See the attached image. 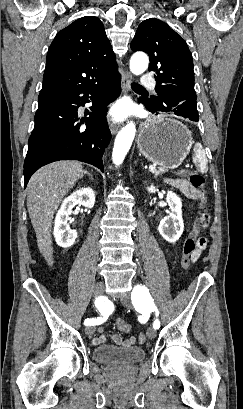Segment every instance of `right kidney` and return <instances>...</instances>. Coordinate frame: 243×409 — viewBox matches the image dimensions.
Here are the masks:
<instances>
[{
	"label": "right kidney",
	"mask_w": 243,
	"mask_h": 409,
	"mask_svg": "<svg viewBox=\"0 0 243 409\" xmlns=\"http://www.w3.org/2000/svg\"><path fill=\"white\" fill-rule=\"evenodd\" d=\"M94 203L95 193L91 188L77 190L64 199L56 214L53 232L55 241L60 247H71L77 238L76 230H71L68 224V217L74 206L82 204L87 208H92Z\"/></svg>",
	"instance_id": "obj_1"
}]
</instances>
